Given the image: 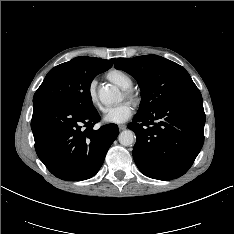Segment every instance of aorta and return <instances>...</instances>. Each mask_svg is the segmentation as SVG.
<instances>
[{"instance_id": "762f6f07", "label": "aorta", "mask_w": 234, "mask_h": 234, "mask_svg": "<svg viewBox=\"0 0 234 234\" xmlns=\"http://www.w3.org/2000/svg\"><path fill=\"white\" fill-rule=\"evenodd\" d=\"M98 94H99L100 101L106 105L115 103L117 99L119 98L118 89L112 85L102 86L99 89ZM134 138H135L134 132L131 130H124L118 136V140L120 144L123 146L132 145L134 142Z\"/></svg>"}]
</instances>
